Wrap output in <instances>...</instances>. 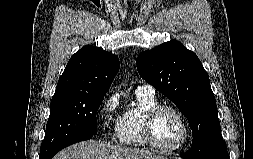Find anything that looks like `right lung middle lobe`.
Wrapping results in <instances>:
<instances>
[{"label": "right lung middle lobe", "instance_id": "right-lung-middle-lobe-1", "mask_svg": "<svg viewBox=\"0 0 253 159\" xmlns=\"http://www.w3.org/2000/svg\"><path fill=\"white\" fill-rule=\"evenodd\" d=\"M104 94H78L52 98L39 159H45L59 147L97 133L96 114Z\"/></svg>", "mask_w": 253, "mask_h": 159}]
</instances>
